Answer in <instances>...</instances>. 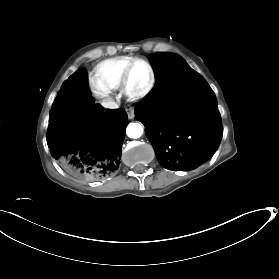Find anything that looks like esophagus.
Segmentation results:
<instances>
[{"label":"esophagus","mask_w":279,"mask_h":279,"mask_svg":"<svg viewBox=\"0 0 279 279\" xmlns=\"http://www.w3.org/2000/svg\"><path fill=\"white\" fill-rule=\"evenodd\" d=\"M127 113H128V117L130 119L134 118L135 117V113H134V108L133 107H129L126 109Z\"/></svg>","instance_id":"obj_1"}]
</instances>
